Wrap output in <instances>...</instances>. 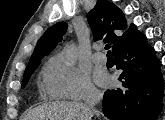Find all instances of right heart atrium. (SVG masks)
I'll return each mask as SVG.
<instances>
[{
	"instance_id": "1",
	"label": "right heart atrium",
	"mask_w": 165,
	"mask_h": 120,
	"mask_svg": "<svg viewBox=\"0 0 165 120\" xmlns=\"http://www.w3.org/2000/svg\"><path fill=\"white\" fill-rule=\"evenodd\" d=\"M44 84L46 92L55 98L87 101L99 95L89 73L63 54L49 60L44 71Z\"/></svg>"
}]
</instances>
